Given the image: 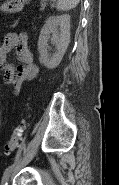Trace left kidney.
I'll list each match as a JSON object with an SVG mask.
<instances>
[{"mask_svg": "<svg viewBox=\"0 0 119 185\" xmlns=\"http://www.w3.org/2000/svg\"><path fill=\"white\" fill-rule=\"evenodd\" d=\"M56 46L54 53H49L48 40ZM70 42V15L63 14L49 17L41 29L38 39L39 61L48 69L56 68Z\"/></svg>", "mask_w": 119, "mask_h": 185, "instance_id": "obj_1", "label": "left kidney"}]
</instances>
